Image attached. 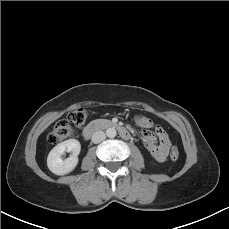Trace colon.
I'll list each match as a JSON object with an SVG mask.
<instances>
[{"label": "colon", "mask_w": 229, "mask_h": 229, "mask_svg": "<svg viewBox=\"0 0 229 229\" xmlns=\"http://www.w3.org/2000/svg\"><path fill=\"white\" fill-rule=\"evenodd\" d=\"M86 112L83 109H76L69 113L68 120H61L57 122L49 135V142L52 144H58L61 141L74 137L75 130L73 126L81 127L85 123ZM137 123L140 124V118L137 119ZM180 152L177 147H173L170 152V158L173 161L179 159Z\"/></svg>", "instance_id": "obj_1"}]
</instances>
